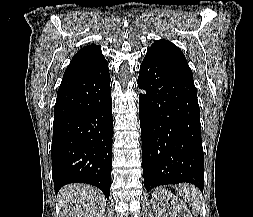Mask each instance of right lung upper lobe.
<instances>
[{
  "label": "right lung upper lobe",
  "instance_id": "1",
  "mask_svg": "<svg viewBox=\"0 0 253 217\" xmlns=\"http://www.w3.org/2000/svg\"><path fill=\"white\" fill-rule=\"evenodd\" d=\"M105 61L101 47L98 45L92 44L83 47L72 58L63 79L89 71Z\"/></svg>",
  "mask_w": 253,
  "mask_h": 217
}]
</instances>
